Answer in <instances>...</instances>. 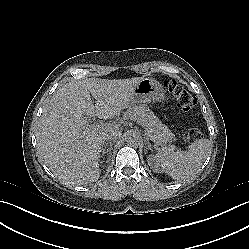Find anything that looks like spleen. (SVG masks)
<instances>
[{"label": "spleen", "mask_w": 249, "mask_h": 249, "mask_svg": "<svg viewBox=\"0 0 249 249\" xmlns=\"http://www.w3.org/2000/svg\"><path fill=\"white\" fill-rule=\"evenodd\" d=\"M210 150V141L202 139L191 144L184 152H159L155 155V161L163 172L171 176L180 172H194L201 168Z\"/></svg>", "instance_id": "spleen-1"}]
</instances>
